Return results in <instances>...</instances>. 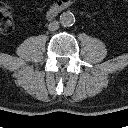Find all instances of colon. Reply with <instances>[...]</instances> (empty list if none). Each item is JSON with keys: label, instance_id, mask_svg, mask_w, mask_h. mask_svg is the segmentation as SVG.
<instances>
[{"label": "colon", "instance_id": "5ec220e1", "mask_svg": "<svg viewBox=\"0 0 128 128\" xmlns=\"http://www.w3.org/2000/svg\"><path fill=\"white\" fill-rule=\"evenodd\" d=\"M12 14L7 5L0 1V32L9 33L12 30Z\"/></svg>", "mask_w": 128, "mask_h": 128}]
</instances>
